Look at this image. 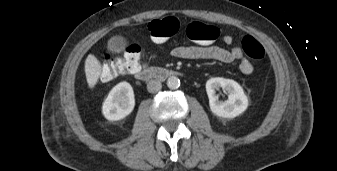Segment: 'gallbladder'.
<instances>
[{"label":"gallbladder","mask_w":337,"mask_h":171,"mask_svg":"<svg viewBox=\"0 0 337 171\" xmlns=\"http://www.w3.org/2000/svg\"><path fill=\"white\" fill-rule=\"evenodd\" d=\"M123 46H124V41L119 37L112 38L109 41V48L112 51H119L123 48Z\"/></svg>","instance_id":"obj_1"}]
</instances>
